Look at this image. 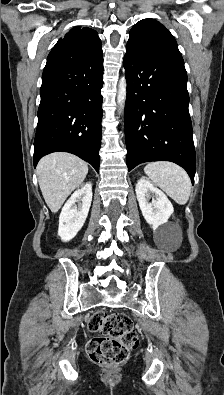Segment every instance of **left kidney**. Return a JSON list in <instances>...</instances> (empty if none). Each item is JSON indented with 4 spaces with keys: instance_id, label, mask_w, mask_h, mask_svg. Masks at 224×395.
Instances as JSON below:
<instances>
[{
    "instance_id": "1",
    "label": "left kidney",
    "mask_w": 224,
    "mask_h": 395,
    "mask_svg": "<svg viewBox=\"0 0 224 395\" xmlns=\"http://www.w3.org/2000/svg\"><path fill=\"white\" fill-rule=\"evenodd\" d=\"M135 191L139 207L146 222L154 231L157 230L161 235L166 234L167 229L164 224L168 222L169 217L174 212V208L167 196L145 177L138 180ZM151 194L153 199L149 203Z\"/></svg>"
}]
</instances>
